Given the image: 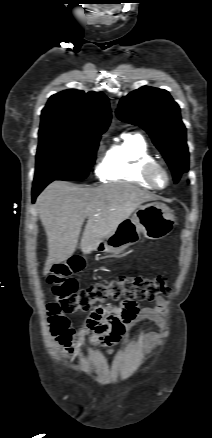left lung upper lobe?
Instances as JSON below:
<instances>
[{"label":"left lung upper lobe","instance_id":"5c2ea615","mask_svg":"<svg viewBox=\"0 0 212 438\" xmlns=\"http://www.w3.org/2000/svg\"><path fill=\"white\" fill-rule=\"evenodd\" d=\"M121 121L142 127L168 163L175 183L189 168L186 128L180 108L164 89L141 87L119 102Z\"/></svg>","mask_w":212,"mask_h":438}]
</instances>
